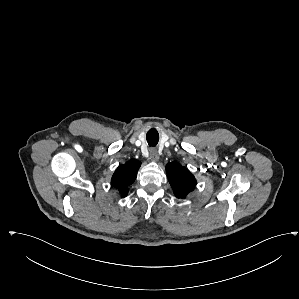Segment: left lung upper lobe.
Returning a JSON list of instances; mask_svg holds the SVG:
<instances>
[{
    "mask_svg": "<svg viewBox=\"0 0 299 299\" xmlns=\"http://www.w3.org/2000/svg\"><path fill=\"white\" fill-rule=\"evenodd\" d=\"M166 171L174 194L178 198H184L193 191L196 180L192 173L178 163H168Z\"/></svg>",
    "mask_w": 299,
    "mask_h": 299,
    "instance_id": "left-lung-upper-lobe-1",
    "label": "left lung upper lobe"
}]
</instances>
